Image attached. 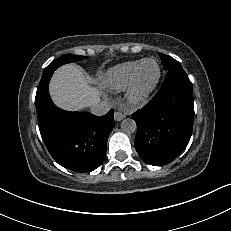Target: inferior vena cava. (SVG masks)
Wrapping results in <instances>:
<instances>
[{
	"label": "inferior vena cava",
	"mask_w": 231,
	"mask_h": 231,
	"mask_svg": "<svg viewBox=\"0 0 231 231\" xmlns=\"http://www.w3.org/2000/svg\"><path fill=\"white\" fill-rule=\"evenodd\" d=\"M111 109L110 103L103 101L91 107V113L97 116L105 115Z\"/></svg>",
	"instance_id": "obj_1"
}]
</instances>
